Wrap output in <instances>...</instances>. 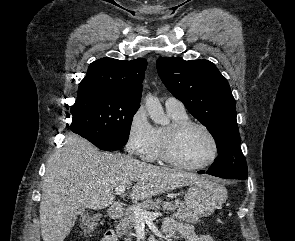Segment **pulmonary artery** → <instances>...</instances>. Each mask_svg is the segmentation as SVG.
<instances>
[{"mask_svg":"<svg viewBox=\"0 0 295 241\" xmlns=\"http://www.w3.org/2000/svg\"><path fill=\"white\" fill-rule=\"evenodd\" d=\"M165 107L167 110H174V111H179V112H184L185 107L183 103L175 98V97H169L165 101Z\"/></svg>","mask_w":295,"mask_h":241,"instance_id":"e3ab8cb5","label":"pulmonary artery"}]
</instances>
